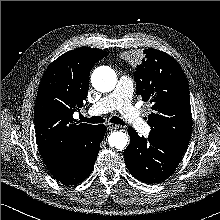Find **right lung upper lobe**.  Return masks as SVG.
<instances>
[{
  "label": "right lung upper lobe",
  "instance_id": "1",
  "mask_svg": "<svg viewBox=\"0 0 220 220\" xmlns=\"http://www.w3.org/2000/svg\"><path fill=\"white\" fill-rule=\"evenodd\" d=\"M108 54L97 48H78L61 55L44 72L34 120L38 148L47 167L94 126L77 122L73 113L86 99L91 68Z\"/></svg>",
  "mask_w": 220,
  "mask_h": 220
}]
</instances>
